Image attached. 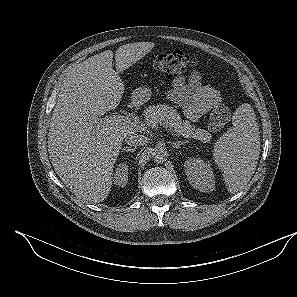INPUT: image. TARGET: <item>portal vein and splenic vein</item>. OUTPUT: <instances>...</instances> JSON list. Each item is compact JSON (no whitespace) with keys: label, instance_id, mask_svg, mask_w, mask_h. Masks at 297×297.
Segmentation results:
<instances>
[{"label":"portal vein and splenic vein","instance_id":"obj_1","mask_svg":"<svg viewBox=\"0 0 297 297\" xmlns=\"http://www.w3.org/2000/svg\"><path fill=\"white\" fill-rule=\"evenodd\" d=\"M98 123L100 125H128V126H132V127H139V128H142L143 125L140 124L132 119L131 117L129 116H124V115H110V116H107L105 118H100L98 119ZM164 127L168 130H171L170 128H168L167 125H164Z\"/></svg>","mask_w":297,"mask_h":297}]
</instances>
